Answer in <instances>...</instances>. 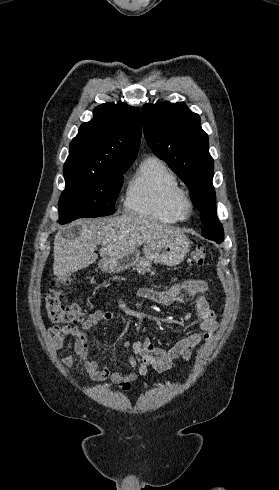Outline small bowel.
<instances>
[{
    "label": "small bowel",
    "instance_id": "1",
    "mask_svg": "<svg viewBox=\"0 0 279 490\" xmlns=\"http://www.w3.org/2000/svg\"><path fill=\"white\" fill-rule=\"evenodd\" d=\"M208 285L200 279H185L165 290L143 288L137 293V297L163 306L173 303H191L201 320L200 331L193 332L181 338L169 350L157 347L150 339L142 341L126 340L122 347L132 350L133 355L129 357L132 369L128 372H110L105 365L101 369L91 356L98 353L89 347L86 331L92 329L98 323L108 322L114 319L115 314L109 310H95L82 322L81 326H53L48 330V338L51 346L60 349L69 338L74 339L73 352L62 357L66 367H73L79 363L93 380H109L117 384L123 390H128L131 383L140 376H145L150 369L164 372L175 366V361L181 359L188 361L194 349L202 340L210 338L218 327L217 315L209 306L206 294ZM188 318V315H184Z\"/></svg>",
    "mask_w": 279,
    "mask_h": 490
}]
</instances>
